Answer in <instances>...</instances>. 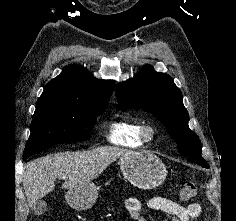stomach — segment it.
<instances>
[{
	"label": "stomach",
	"instance_id": "1",
	"mask_svg": "<svg viewBox=\"0 0 236 221\" xmlns=\"http://www.w3.org/2000/svg\"><path fill=\"white\" fill-rule=\"evenodd\" d=\"M119 164L124 178L143 190L158 187L167 175L166 167L160 158L146 151L126 153ZM97 197L98 189L93 183L71 188L66 193L67 203L76 210L91 208Z\"/></svg>",
	"mask_w": 236,
	"mask_h": 221
}]
</instances>
